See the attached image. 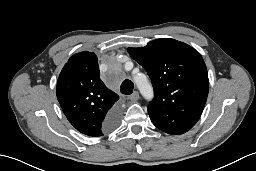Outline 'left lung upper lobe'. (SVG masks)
Returning <instances> with one entry per match:
<instances>
[{
  "label": "left lung upper lobe",
  "mask_w": 256,
  "mask_h": 171,
  "mask_svg": "<svg viewBox=\"0 0 256 171\" xmlns=\"http://www.w3.org/2000/svg\"><path fill=\"white\" fill-rule=\"evenodd\" d=\"M128 53L152 80L155 97L148 113L153 124L172 135L190 130L202 114L209 90L201 54L171 38L153 40L145 47L128 48Z\"/></svg>",
  "instance_id": "5c2ea615"
}]
</instances>
